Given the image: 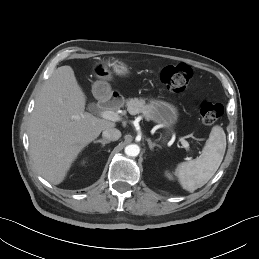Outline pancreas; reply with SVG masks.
I'll use <instances>...</instances> for the list:
<instances>
[{
	"instance_id": "cf45deb5",
	"label": "pancreas",
	"mask_w": 259,
	"mask_h": 259,
	"mask_svg": "<svg viewBox=\"0 0 259 259\" xmlns=\"http://www.w3.org/2000/svg\"><path fill=\"white\" fill-rule=\"evenodd\" d=\"M127 110L130 114L136 115V114H143V116L147 119H149V111L150 107L145 104L144 100L142 99H130L127 101Z\"/></svg>"
}]
</instances>
